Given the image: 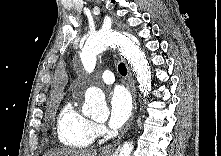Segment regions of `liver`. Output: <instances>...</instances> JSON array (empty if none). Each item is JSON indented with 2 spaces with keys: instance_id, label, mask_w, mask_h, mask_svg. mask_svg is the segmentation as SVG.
<instances>
[{
  "instance_id": "6515ba94",
  "label": "liver",
  "mask_w": 221,
  "mask_h": 156,
  "mask_svg": "<svg viewBox=\"0 0 221 156\" xmlns=\"http://www.w3.org/2000/svg\"><path fill=\"white\" fill-rule=\"evenodd\" d=\"M44 156H97V151L93 149H53L44 154Z\"/></svg>"
}]
</instances>
